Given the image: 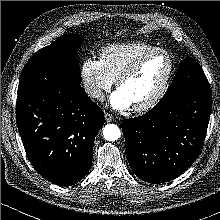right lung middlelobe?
<instances>
[{
  "instance_id": "obj_1",
  "label": "right lung middle lobe",
  "mask_w": 220,
  "mask_h": 220,
  "mask_svg": "<svg viewBox=\"0 0 220 220\" xmlns=\"http://www.w3.org/2000/svg\"><path fill=\"white\" fill-rule=\"evenodd\" d=\"M82 40L80 34H66L37 51L21 74L17 95L81 87V71L74 52Z\"/></svg>"
}]
</instances>
